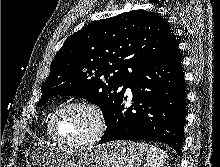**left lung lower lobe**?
I'll return each mask as SVG.
<instances>
[{"label":"left lung lower lobe","mask_w":220,"mask_h":167,"mask_svg":"<svg viewBox=\"0 0 220 167\" xmlns=\"http://www.w3.org/2000/svg\"><path fill=\"white\" fill-rule=\"evenodd\" d=\"M132 105L126 107V89ZM106 122L100 144L114 140H147L170 145L181 153L186 94L181 57L176 48L137 72L127 83Z\"/></svg>","instance_id":"obj_1"}]
</instances>
